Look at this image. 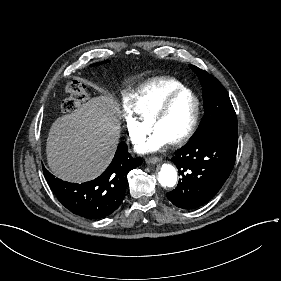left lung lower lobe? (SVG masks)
<instances>
[{
  "label": "left lung lower lobe",
  "instance_id": "1",
  "mask_svg": "<svg viewBox=\"0 0 281 281\" xmlns=\"http://www.w3.org/2000/svg\"><path fill=\"white\" fill-rule=\"evenodd\" d=\"M237 140V134L216 130L194 135L172 158L183 177L167 198L182 209H195L209 202L233 169Z\"/></svg>",
  "mask_w": 281,
  "mask_h": 281
}]
</instances>
